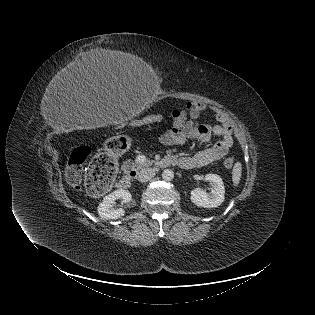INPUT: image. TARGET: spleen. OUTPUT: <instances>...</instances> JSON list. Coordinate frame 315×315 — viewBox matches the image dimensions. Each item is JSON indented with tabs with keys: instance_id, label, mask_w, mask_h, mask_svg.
<instances>
[{
	"instance_id": "obj_1",
	"label": "spleen",
	"mask_w": 315,
	"mask_h": 315,
	"mask_svg": "<svg viewBox=\"0 0 315 315\" xmlns=\"http://www.w3.org/2000/svg\"><path fill=\"white\" fill-rule=\"evenodd\" d=\"M242 173V165L240 162H236L232 171V180L235 187L239 185Z\"/></svg>"
}]
</instances>
